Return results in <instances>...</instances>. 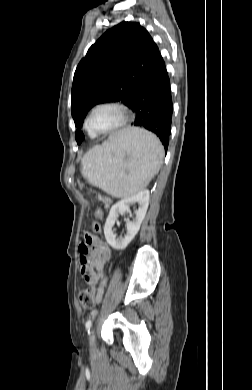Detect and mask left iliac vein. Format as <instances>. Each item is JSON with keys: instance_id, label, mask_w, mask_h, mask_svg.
Wrapping results in <instances>:
<instances>
[{"instance_id": "left-iliac-vein-1", "label": "left iliac vein", "mask_w": 252, "mask_h": 390, "mask_svg": "<svg viewBox=\"0 0 252 390\" xmlns=\"http://www.w3.org/2000/svg\"><path fill=\"white\" fill-rule=\"evenodd\" d=\"M89 340H90V347L92 350H94L96 347V337H95V330L94 329H91V331H90Z\"/></svg>"}]
</instances>
